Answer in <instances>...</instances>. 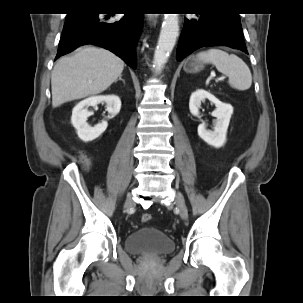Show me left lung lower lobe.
Here are the masks:
<instances>
[{"mask_svg": "<svg viewBox=\"0 0 303 303\" xmlns=\"http://www.w3.org/2000/svg\"><path fill=\"white\" fill-rule=\"evenodd\" d=\"M228 46L248 54L238 14L210 10L185 18L177 47V61L201 47Z\"/></svg>", "mask_w": 303, "mask_h": 303, "instance_id": "obj_1", "label": "left lung lower lobe"}]
</instances>
